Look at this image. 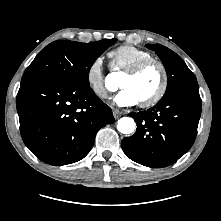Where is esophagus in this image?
<instances>
[{"label": "esophagus", "mask_w": 221, "mask_h": 221, "mask_svg": "<svg viewBox=\"0 0 221 221\" xmlns=\"http://www.w3.org/2000/svg\"><path fill=\"white\" fill-rule=\"evenodd\" d=\"M122 114L123 113L120 110H118V109H114L113 110V116H114L115 119L120 118L122 116Z\"/></svg>", "instance_id": "esophagus-1"}]
</instances>
